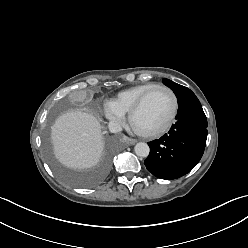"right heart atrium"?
Listing matches in <instances>:
<instances>
[{
  "mask_svg": "<svg viewBox=\"0 0 248 248\" xmlns=\"http://www.w3.org/2000/svg\"><path fill=\"white\" fill-rule=\"evenodd\" d=\"M105 115L106 117L114 123L121 124L124 120V115L119 113L111 103H108L105 106Z\"/></svg>",
  "mask_w": 248,
  "mask_h": 248,
  "instance_id": "obj_1",
  "label": "right heart atrium"
}]
</instances>
